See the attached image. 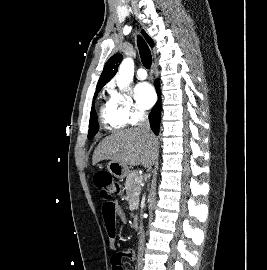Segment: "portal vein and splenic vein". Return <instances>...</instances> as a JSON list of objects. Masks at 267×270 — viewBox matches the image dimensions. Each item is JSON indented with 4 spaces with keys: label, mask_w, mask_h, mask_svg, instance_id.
Returning a JSON list of instances; mask_svg holds the SVG:
<instances>
[{
    "label": "portal vein and splenic vein",
    "mask_w": 267,
    "mask_h": 270,
    "mask_svg": "<svg viewBox=\"0 0 267 270\" xmlns=\"http://www.w3.org/2000/svg\"><path fill=\"white\" fill-rule=\"evenodd\" d=\"M135 181H136V182H142V176L137 177V178L135 179Z\"/></svg>",
    "instance_id": "portal-vein-and-splenic-vein-1"
}]
</instances>
